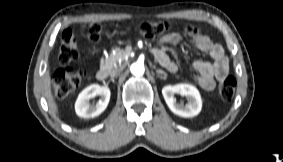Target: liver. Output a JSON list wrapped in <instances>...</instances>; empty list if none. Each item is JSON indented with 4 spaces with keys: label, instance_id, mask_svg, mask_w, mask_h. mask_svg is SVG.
<instances>
[{
    "label": "liver",
    "instance_id": "1",
    "mask_svg": "<svg viewBox=\"0 0 283 162\" xmlns=\"http://www.w3.org/2000/svg\"><path fill=\"white\" fill-rule=\"evenodd\" d=\"M43 91L51 112L56 115L58 113V108L51 91V78L49 70H47L43 78Z\"/></svg>",
    "mask_w": 283,
    "mask_h": 162
}]
</instances>
